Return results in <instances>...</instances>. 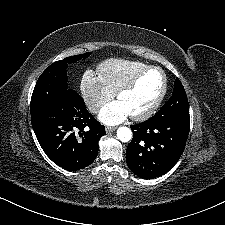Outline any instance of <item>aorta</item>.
I'll return each instance as SVG.
<instances>
[{"label":"aorta","mask_w":225,"mask_h":225,"mask_svg":"<svg viewBox=\"0 0 225 225\" xmlns=\"http://www.w3.org/2000/svg\"><path fill=\"white\" fill-rule=\"evenodd\" d=\"M117 137L121 142H129L132 139V131L125 126L119 127Z\"/></svg>","instance_id":"1"}]
</instances>
